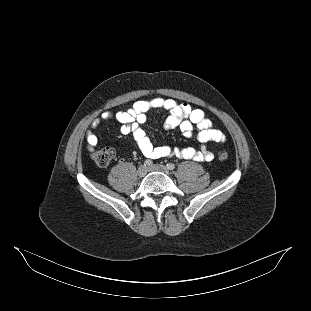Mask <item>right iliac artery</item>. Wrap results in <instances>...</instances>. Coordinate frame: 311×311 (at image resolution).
I'll return each mask as SVG.
<instances>
[{
    "label": "right iliac artery",
    "mask_w": 311,
    "mask_h": 311,
    "mask_svg": "<svg viewBox=\"0 0 311 311\" xmlns=\"http://www.w3.org/2000/svg\"><path fill=\"white\" fill-rule=\"evenodd\" d=\"M153 164V162L149 159L145 160L144 165L145 166H151Z\"/></svg>",
    "instance_id": "obj_1"
}]
</instances>
